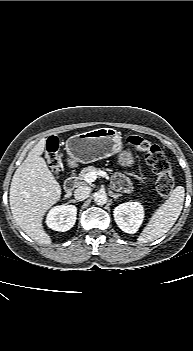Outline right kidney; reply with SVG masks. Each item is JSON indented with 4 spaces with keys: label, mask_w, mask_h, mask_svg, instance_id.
I'll return each instance as SVG.
<instances>
[{
    "label": "right kidney",
    "mask_w": 193,
    "mask_h": 351,
    "mask_svg": "<svg viewBox=\"0 0 193 351\" xmlns=\"http://www.w3.org/2000/svg\"><path fill=\"white\" fill-rule=\"evenodd\" d=\"M76 216V206L66 204L55 206L47 214L46 224L52 230L65 232L74 226Z\"/></svg>",
    "instance_id": "1"
}]
</instances>
